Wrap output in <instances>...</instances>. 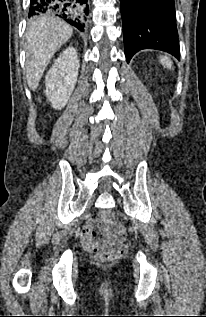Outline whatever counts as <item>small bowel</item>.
Masks as SVG:
<instances>
[{"mask_svg": "<svg viewBox=\"0 0 206 317\" xmlns=\"http://www.w3.org/2000/svg\"><path fill=\"white\" fill-rule=\"evenodd\" d=\"M97 220H98V217L97 216H93L92 218L87 220V222L82 227L81 238H82V241L85 244V246L87 245L88 241L94 235L93 228H94V225L97 222ZM116 237L117 238H122L123 237V231L121 229H118L116 231Z\"/></svg>", "mask_w": 206, "mask_h": 317, "instance_id": "c3829d8e", "label": "small bowel"}]
</instances>
